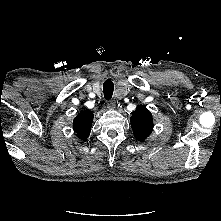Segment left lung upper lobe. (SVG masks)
<instances>
[{"instance_id":"1","label":"left lung upper lobe","mask_w":221,"mask_h":221,"mask_svg":"<svg viewBox=\"0 0 221 221\" xmlns=\"http://www.w3.org/2000/svg\"><path fill=\"white\" fill-rule=\"evenodd\" d=\"M132 130L139 141L145 140L153 130V119L151 113L144 107H138L132 114Z\"/></svg>"}]
</instances>
